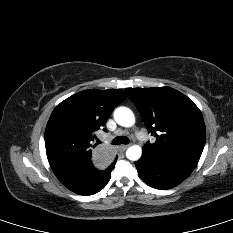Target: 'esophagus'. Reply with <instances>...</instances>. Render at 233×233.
I'll list each match as a JSON object with an SVG mask.
<instances>
[{"label":"esophagus","instance_id":"34e87169","mask_svg":"<svg viewBox=\"0 0 233 233\" xmlns=\"http://www.w3.org/2000/svg\"><path fill=\"white\" fill-rule=\"evenodd\" d=\"M128 147H129V145H121V146H119V150H120L121 152H123V151H125Z\"/></svg>","mask_w":233,"mask_h":233}]
</instances>
